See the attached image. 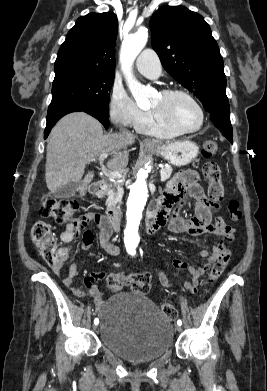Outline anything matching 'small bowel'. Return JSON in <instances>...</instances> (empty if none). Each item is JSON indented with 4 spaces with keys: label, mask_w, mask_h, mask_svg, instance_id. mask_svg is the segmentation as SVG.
I'll return each instance as SVG.
<instances>
[{
    "label": "small bowel",
    "mask_w": 267,
    "mask_h": 391,
    "mask_svg": "<svg viewBox=\"0 0 267 391\" xmlns=\"http://www.w3.org/2000/svg\"><path fill=\"white\" fill-rule=\"evenodd\" d=\"M187 196L193 198L196 202L195 215L191 218H183L179 215L180 208L186 203ZM217 205L209 201L198 183V174L193 170H186L176 175L167 185L164 194L158 200L157 210L165 218L167 229L171 233L200 235L203 233H212L221 236V240L212 247L211 250L204 249L201 256L207 259V263L199 267H194L184 262L178 257L173 259V265L179 270H187L191 276L189 281L184 283V287L190 293H196L199 285V278L210 269L212 263L216 262L218 257L225 251L226 243L233 241L234 229L228 226L222 218L217 217L213 221V213ZM91 222H96L99 228L100 245L106 253L116 256L120 249L111 241L112 229L106 220L98 214L90 213L82 216L77 222L67 224L60 234L62 243H71L77 237L80 231ZM93 243V232L86 230L83 234L81 248L90 249ZM59 262L54 267L57 274H61L64 263L69 259L70 250L67 246H61L58 249ZM78 275L77 263L72 262L64 276V283L71 285L72 280ZM105 277L102 272H91L84 277V283L89 288L96 305H101L102 294L96 286V281ZM156 278L162 288L170 286V283L163 272H158ZM77 296H82L83 292L79 288H73Z\"/></svg>",
    "instance_id": "obj_1"
}]
</instances>
